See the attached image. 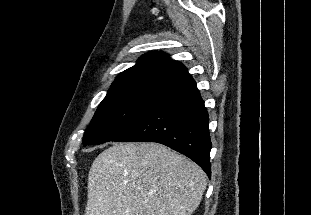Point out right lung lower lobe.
Here are the masks:
<instances>
[{"mask_svg": "<svg viewBox=\"0 0 311 215\" xmlns=\"http://www.w3.org/2000/svg\"><path fill=\"white\" fill-rule=\"evenodd\" d=\"M209 118L192 76L173 82L159 102L128 131L112 141L164 144L196 162L211 177Z\"/></svg>", "mask_w": 311, "mask_h": 215, "instance_id": "98d812e1", "label": "right lung lower lobe"}]
</instances>
